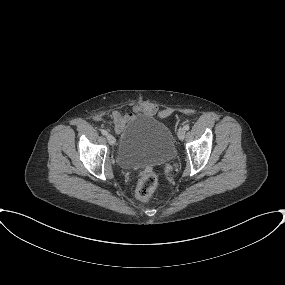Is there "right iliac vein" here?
Masks as SVG:
<instances>
[{
  "instance_id": "1",
  "label": "right iliac vein",
  "mask_w": 285,
  "mask_h": 285,
  "mask_svg": "<svg viewBox=\"0 0 285 285\" xmlns=\"http://www.w3.org/2000/svg\"><path fill=\"white\" fill-rule=\"evenodd\" d=\"M107 140H108V142H109L110 145H114L115 142H116L115 137H114L113 135H111V134H108V135H107Z\"/></svg>"
}]
</instances>
